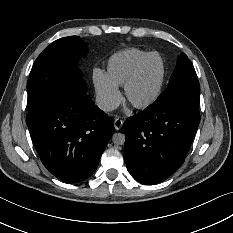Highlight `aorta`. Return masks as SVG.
I'll return each instance as SVG.
<instances>
[{
    "label": "aorta",
    "mask_w": 233,
    "mask_h": 233,
    "mask_svg": "<svg viewBox=\"0 0 233 233\" xmlns=\"http://www.w3.org/2000/svg\"><path fill=\"white\" fill-rule=\"evenodd\" d=\"M112 142L116 145H123L125 142V136L121 133H115L112 136Z\"/></svg>",
    "instance_id": "obj_1"
}]
</instances>
